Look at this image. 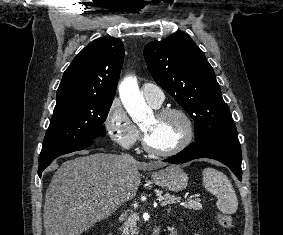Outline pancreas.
<instances>
[{
  "label": "pancreas",
  "mask_w": 283,
  "mask_h": 235,
  "mask_svg": "<svg viewBox=\"0 0 283 235\" xmlns=\"http://www.w3.org/2000/svg\"><path fill=\"white\" fill-rule=\"evenodd\" d=\"M173 198H176V196L170 195L169 193H166L164 195L159 196V199L167 201V202H175L173 201ZM184 207L187 209H193V210H200L202 209V205L196 201V200H191L184 204ZM136 220H137V215L132 214L131 216L128 217L126 222L123 225V234L124 235H134L137 231L136 229Z\"/></svg>",
  "instance_id": "1"
}]
</instances>
